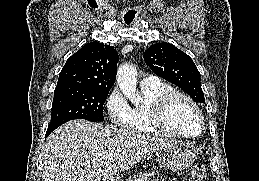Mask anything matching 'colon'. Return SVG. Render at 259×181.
<instances>
[{
  "instance_id": "colon-1",
  "label": "colon",
  "mask_w": 259,
  "mask_h": 181,
  "mask_svg": "<svg viewBox=\"0 0 259 181\" xmlns=\"http://www.w3.org/2000/svg\"><path fill=\"white\" fill-rule=\"evenodd\" d=\"M206 169L204 165H195L189 174V181H206Z\"/></svg>"
}]
</instances>
